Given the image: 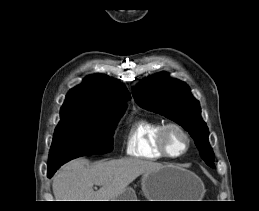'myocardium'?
Segmentation results:
<instances>
[{"label": "myocardium", "mask_w": 259, "mask_h": 211, "mask_svg": "<svg viewBox=\"0 0 259 211\" xmlns=\"http://www.w3.org/2000/svg\"><path fill=\"white\" fill-rule=\"evenodd\" d=\"M171 130H176L177 132H179L185 142L184 148L179 153H176V154H174L170 151V149L168 147V143H167V134ZM190 144H191V138H190L188 132L185 130V128L183 126H181L178 123L170 122V123L163 124V126L161 127V129L158 133V147H159L160 151L167 158L177 159V158L182 157L189 150Z\"/></svg>", "instance_id": "myocardium-1"}]
</instances>
